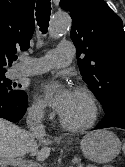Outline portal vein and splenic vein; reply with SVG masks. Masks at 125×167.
Wrapping results in <instances>:
<instances>
[{
    "label": "portal vein and splenic vein",
    "instance_id": "portal-vein-and-splenic-vein-1",
    "mask_svg": "<svg viewBox=\"0 0 125 167\" xmlns=\"http://www.w3.org/2000/svg\"><path fill=\"white\" fill-rule=\"evenodd\" d=\"M72 163H76V160L73 159ZM1 164H7V165L14 166V167H42L39 164L23 160L21 157L1 159L0 165Z\"/></svg>",
    "mask_w": 125,
    "mask_h": 167
}]
</instances>
